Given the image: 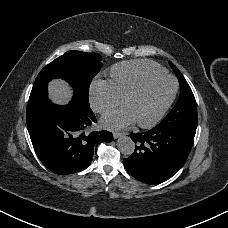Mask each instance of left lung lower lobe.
<instances>
[{"label": "left lung lower lobe", "mask_w": 228, "mask_h": 228, "mask_svg": "<svg viewBox=\"0 0 228 228\" xmlns=\"http://www.w3.org/2000/svg\"><path fill=\"white\" fill-rule=\"evenodd\" d=\"M196 129L155 126L144 133L130 136L134 153L123 160L128 173L146 184H160L170 179L185 163Z\"/></svg>", "instance_id": "1"}]
</instances>
